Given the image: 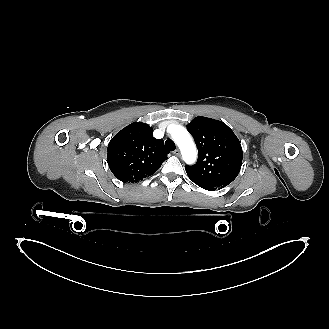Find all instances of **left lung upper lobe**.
Listing matches in <instances>:
<instances>
[{
	"instance_id": "left-lung-upper-lobe-1",
	"label": "left lung upper lobe",
	"mask_w": 329,
	"mask_h": 329,
	"mask_svg": "<svg viewBox=\"0 0 329 329\" xmlns=\"http://www.w3.org/2000/svg\"><path fill=\"white\" fill-rule=\"evenodd\" d=\"M187 129L198 149V160L186 166L192 182L208 190L223 188L238 175L242 165V147L234 132L223 122L196 117Z\"/></svg>"
}]
</instances>
